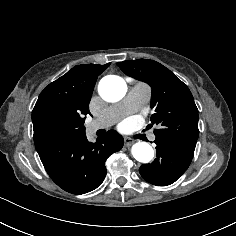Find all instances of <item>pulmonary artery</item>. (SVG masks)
<instances>
[{
  "label": "pulmonary artery",
  "mask_w": 236,
  "mask_h": 236,
  "mask_svg": "<svg viewBox=\"0 0 236 236\" xmlns=\"http://www.w3.org/2000/svg\"><path fill=\"white\" fill-rule=\"evenodd\" d=\"M140 91H145L147 94L148 88L142 84L135 86L123 102L110 107L103 117L88 122V133L93 134L99 129L111 126L115 122L117 115H128L135 112L134 108L138 104L137 95ZM150 138L151 140H155L154 135H151Z\"/></svg>",
  "instance_id": "e3ab8cb5"
}]
</instances>
